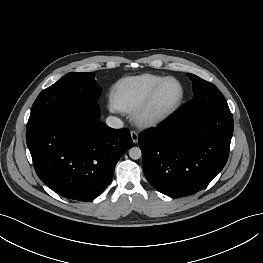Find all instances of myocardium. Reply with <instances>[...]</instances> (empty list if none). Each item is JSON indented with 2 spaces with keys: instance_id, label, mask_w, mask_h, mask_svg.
<instances>
[{
  "instance_id": "obj_1",
  "label": "myocardium",
  "mask_w": 263,
  "mask_h": 263,
  "mask_svg": "<svg viewBox=\"0 0 263 263\" xmlns=\"http://www.w3.org/2000/svg\"><path fill=\"white\" fill-rule=\"evenodd\" d=\"M176 81L181 88V95L178 101L170 108L166 110L157 111L153 109L156 97L163 87V85L169 81ZM185 87L183 83L176 77L167 76L164 77L149 93L145 101L132 112V119L134 122L142 127H153L171 117L182 105L185 98Z\"/></svg>"
}]
</instances>
